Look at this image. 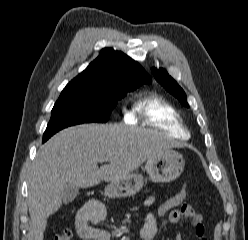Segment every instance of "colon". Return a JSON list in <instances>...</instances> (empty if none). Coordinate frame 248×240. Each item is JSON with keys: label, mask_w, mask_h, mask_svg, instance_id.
<instances>
[{"label": "colon", "mask_w": 248, "mask_h": 240, "mask_svg": "<svg viewBox=\"0 0 248 240\" xmlns=\"http://www.w3.org/2000/svg\"><path fill=\"white\" fill-rule=\"evenodd\" d=\"M186 198V191L182 190L175 195L170 196L165 201H163L156 209V214L159 217H164L170 211L179 208L183 205L184 200ZM71 231L69 229H63L57 234L54 240H70Z\"/></svg>", "instance_id": "5ec220e1"}]
</instances>
